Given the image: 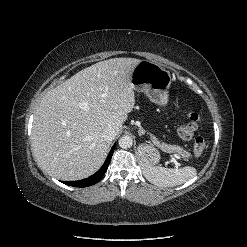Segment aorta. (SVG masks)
Segmentation results:
<instances>
[{
    "label": "aorta",
    "instance_id": "obj_1",
    "mask_svg": "<svg viewBox=\"0 0 247 247\" xmlns=\"http://www.w3.org/2000/svg\"><path fill=\"white\" fill-rule=\"evenodd\" d=\"M118 143L121 148L128 149L132 147L133 139L128 135H124L119 139Z\"/></svg>",
    "mask_w": 247,
    "mask_h": 247
}]
</instances>
